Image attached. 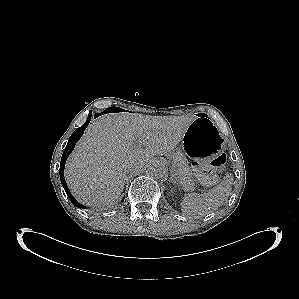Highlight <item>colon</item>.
<instances>
[{"label":"colon","instance_id":"1","mask_svg":"<svg viewBox=\"0 0 299 299\" xmlns=\"http://www.w3.org/2000/svg\"><path fill=\"white\" fill-rule=\"evenodd\" d=\"M226 164V156L221 154L210 163L192 162L193 169L198 179L204 183L216 181L217 172L222 170Z\"/></svg>","mask_w":299,"mask_h":299}]
</instances>
